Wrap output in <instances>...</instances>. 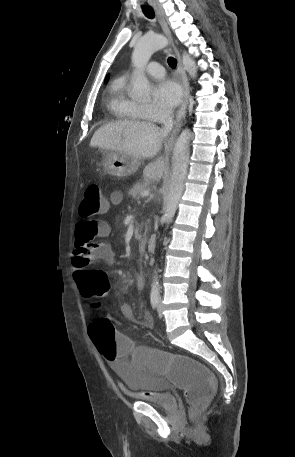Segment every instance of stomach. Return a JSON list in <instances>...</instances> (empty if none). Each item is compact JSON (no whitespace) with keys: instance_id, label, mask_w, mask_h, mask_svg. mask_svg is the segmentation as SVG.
Here are the masks:
<instances>
[{"instance_id":"stomach-1","label":"stomach","mask_w":295,"mask_h":457,"mask_svg":"<svg viewBox=\"0 0 295 457\" xmlns=\"http://www.w3.org/2000/svg\"><path fill=\"white\" fill-rule=\"evenodd\" d=\"M103 166L113 176L126 177L136 172L139 159L117 151H104Z\"/></svg>"}]
</instances>
